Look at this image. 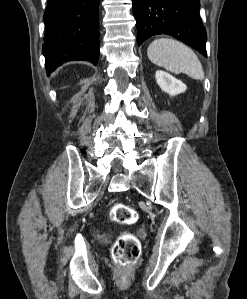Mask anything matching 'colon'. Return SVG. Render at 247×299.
Returning a JSON list of instances; mask_svg holds the SVG:
<instances>
[{"label":"colon","instance_id":"1","mask_svg":"<svg viewBox=\"0 0 247 299\" xmlns=\"http://www.w3.org/2000/svg\"><path fill=\"white\" fill-rule=\"evenodd\" d=\"M110 218L118 224L130 225L137 221L138 213L127 204L117 203L110 210ZM140 251L139 239L132 233L123 232L114 241L111 254L116 264L127 268L136 263Z\"/></svg>","mask_w":247,"mask_h":299}]
</instances>
